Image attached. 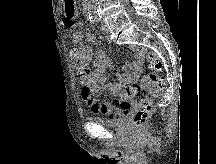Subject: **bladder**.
I'll return each mask as SVG.
<instances>
[{
    "instance_id": "bladder-1",
    "label": "bladder",
    "mask_w": 216,
    "mask_h": 164,
    "mask_svg": "<svg viewBox=\"0 0 216 164\" xmlns=\"http://www.w3.org/2000/svg\"><path fill=\"white\" fill-rule=\"evenodd\" d=\"M125 114L123 113L121 116L115 118V119H105V118H100V117H92V120H94L95 122L101 124V125H105V126H109V127H121L124 125L125 123Z\"/></svg>"
}]
</instances>
